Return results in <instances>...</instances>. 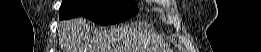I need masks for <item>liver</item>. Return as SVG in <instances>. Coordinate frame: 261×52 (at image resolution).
Returning a JSON list of instances; mask_svg holds the SVG:
<instances>
[{"label": "liver", "instance_id": "1", "mask_svg": "<svg viewBox=\"0 0 261 52\" xmlns=\"http://www.w3.org/2000/svg\"><path fill=\"white\" fill-rule=\"evenodd\" d=\"M90 23L85 18L66 21L63 32L67 47L73 52H111L113 50L114 31L96 30L90 37Z\"/></svg>", "mask_w": 261, "mask_h": 52}]
</instances>
